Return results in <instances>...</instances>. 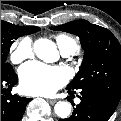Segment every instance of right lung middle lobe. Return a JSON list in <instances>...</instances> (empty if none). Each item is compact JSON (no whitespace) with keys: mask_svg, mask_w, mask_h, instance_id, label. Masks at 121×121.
Segmentation results:
<instances>
[{"mask_svg":"<svg viewBox=\"0 0 121 121\" xmlns=\"http://www.w3.org/2000/svg\"><path fill=\"white\" fill-rule=\"evenodd\" d=\"M37 30L31 27L17 26L1 20V72L13 69L12 66L6 62V58L14 39L22 35L31 34Z\"/></svg>","mask_w":121,"mask_h":121,"instance_id":"dd1d6c3e","label":"right lung middle lobe"}]
</instances>
